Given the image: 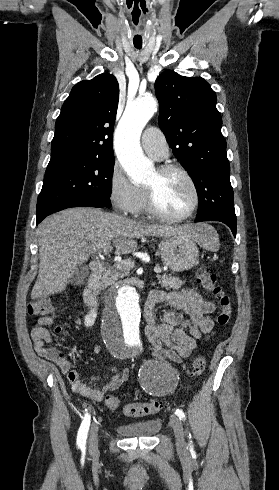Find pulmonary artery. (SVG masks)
I'll return each mask as SVG.
<instances>
[{
  "instance_id": "1",
  "label": "pulmonary artery",
  "mask_w": 279,
  "mask_h": 490,
  "mask_svg": "<svg viewBox=\"0 0 279 490\" xmlns=\"http://www.w3.org/2000/svg\"><path fill=\"white\" fill-rule=\"evenodd\" d=\"M145 152L155 160H161L168 154V145L165 137L158 127H148L141 137Z\"/></svg>"
}]
</instances>
